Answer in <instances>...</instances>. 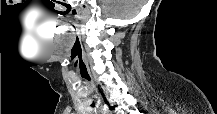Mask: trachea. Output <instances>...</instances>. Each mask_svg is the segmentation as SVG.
<instances>
[{
	"label": "trachea",
	"mask_w": 217,
	"mask_h": 114,
	"mask_svg": "<svg viewBox=\"0 0 217 114\" xmlns=\"http://www.w3.org/2000/svg\"><path fill=\"white\" fill-rule=\"evenodd\" d=\"M92 107H94V103H92V105H91Z\"/></svg>",
	"instance_id": "3493384b"
}]
</instances>
